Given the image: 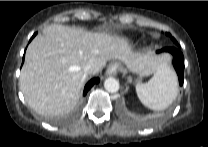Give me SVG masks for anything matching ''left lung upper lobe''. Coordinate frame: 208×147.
<instances>
[{
  "instance_id": "left-lung-upper-lobe-1",
  "label": "left lung upper lobe",
  "mask_w": 208,
  "mask_h": 147,
  "mask_svg": "<svg viewBox=\"0 0 208 147\" xmlns=\"http://www.w3.org/2000/svg\"><path fill=\"white\" fill-rule=\"evenodd\" d=\"M166 35L170 36L171 39H172V41H173L176 45H178L177 41H176L169 33H166Z\"/></svg>"
}]
</instances>
